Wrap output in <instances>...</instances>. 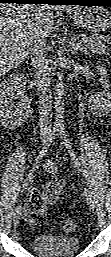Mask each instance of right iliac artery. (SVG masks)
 Returning <instances> with one entry per match:
<instances>
[{
	"label": "right iliac artery",
	"mask_w": 111,
	"mask_h": 257,
	"mask_svg": "<svg viewBox=\"0 0 111 257\" xmlns=\"http://www.w3.org/2000/svg\"><path fill=\"white\" fill-rule=\"evenodd\" d=\"M58 134V129H53L52 132L49 134L48 138L46 139V141L44 142L39 154L37 155V157L35 158V162L33 164V167L28 175L27 181L30 182L34 176V172L35 170L39 167V164L42 161V158L44 157V155L46 154V152L48 151L49 147L51 146L52 142L55 140L56 135ZM23 201V197L22 194L20 195V197L18 198L17 201V206H21Z\"/></svg>",
	"instance_id": "1"
}]
</instances>
